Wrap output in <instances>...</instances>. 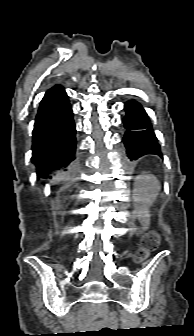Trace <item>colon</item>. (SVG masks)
I'll return each instance as SVG.
<instances>
[{"mask_svg": "<svg viewBox=\"0 0 194 336\" xmlns=\"http://www.w3.org/2000/svg\"><path fill=\"white\" fill-rule=\"evenodd\" d=\"M158 246H159V238L154 234H149L146 237L143 246L136 251V257L144 258L149 253L155 251L158 248ZM113 319L114 320L116 319L114 315H113Z\"/></svg>", "mask_w": 194, "mask_h": 336, "instance_id": "colon-1", "label": "colon"}]
</instances>
